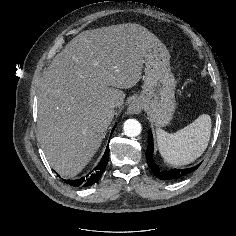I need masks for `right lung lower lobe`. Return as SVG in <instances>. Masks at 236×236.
I'll use <instances>...</instances> for the list:
<instances>
[{"mask_svg":"<svg viewBox=\"0 0 236 236\" xmlns=\"http://www.w3.org/2000/svg\"><path fill=\"white\" fill-rule=\"evenodd\" d=\"M114 129L115 127L113 128L112 132L114 131ZM108 158H109V147L107 146L100 163L98 164L97 167L94 168V170L91 173L87 174L84 177H81L80 179L64 180L65 183L70 184L71 186H74V187L91 186L92 184H94L100 179L102 173L104 172L107 166Z\"/></svg>","mask_w":236,"mask_h":236,"instance_id":"98d812e1","label":"right lung lower lobe"}]
</instances>
